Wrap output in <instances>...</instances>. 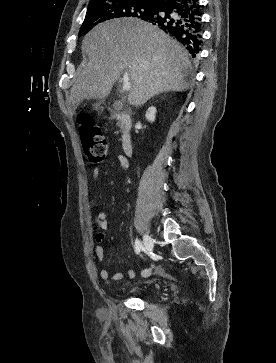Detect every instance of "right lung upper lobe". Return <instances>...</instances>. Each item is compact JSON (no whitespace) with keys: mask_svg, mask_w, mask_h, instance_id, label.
I'll use <instances>...</instances> for the list:
<instances>
[{"mask_svg":"<svg viewBox=\"0 0 276 363\" xmlns=\"http://www.w3.org/2000/svg\"><path fill=\"white\" fill-rule=\"evenodd\" d=\"M97 1H101V0H91L89 4H91L93 2H97ZM134 1H142V2L149 3L152 6L158 7L164 0H134Z\"/></svg>","mask_w":276,"mask_h":363,"instance_id":"cb5924a9","label":"right lung upper lobe"}]
</instances>
